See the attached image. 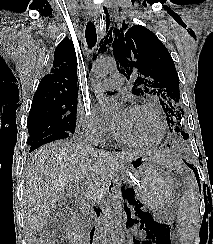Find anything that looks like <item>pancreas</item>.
Wrapping results in <instances>:
<instances>
[{"label":"pancreas","mask_w":213,"mask_h":244,"mask_svg":"<svg viewBox=\"0 0 213 244\" xmlns=\"http://www.w3.org/2000/svg\"><path fill=\"white\" fill-rule=\"evenodd\" d=\"M88 232H89V227L83 225L80 229L81 238L86 239Z\"/></svg>","instance_id":"1"}]
</instances>
